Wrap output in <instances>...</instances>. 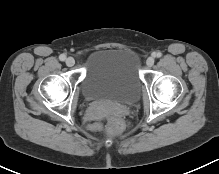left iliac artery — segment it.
<instances>
[{"label":"left iliac artery","mask_w":219,"mask_h":174,"mask_svg":"<svg viewBox=\"0 0 219 174\" xmlns=\"http://www.w3.org/2000/svg\"><path fill=\"white\" fill-rule=\"evenodd\" d=\"M153 55H154V57H158L159 58V57L162 56V53L161 52H155Z\"/></svg>","instance_id":"left-iliac-artery-1"}]
</instances>
